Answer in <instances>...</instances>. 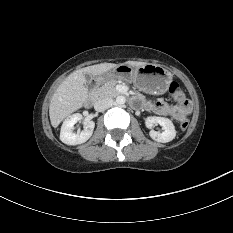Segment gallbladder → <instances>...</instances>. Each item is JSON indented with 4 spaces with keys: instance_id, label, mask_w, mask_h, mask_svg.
<instances>
[{
    "instance_id": "obj_1",
    "label": "gallbladder",
    "mask_w": 233,
    "mask_h": 233,
    "mask_svg": "<svg viewBox=\"0 0 233 233\" xmlns=\"http://www.w3.org/2000/svg\"><path fill=\"white\" fill-rule=\"evenodd\" d=\"M85 78H86V80H87V82H88V84L90 83V81H91V75H89V74H85Z\"/></svg>"
}]
</instances>
